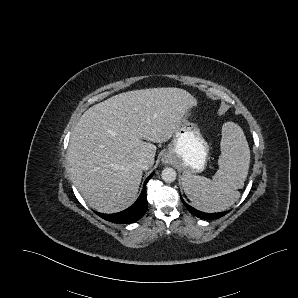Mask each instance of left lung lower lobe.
Wrapping results in <instances>:
<instances>
[{"label": "left lung lower lobe", "mask_w": 298, "mask_h": 298, "mask_svg": "<svg viewBox=\"0 0 298 298\" xmlns=\"http://www.w3.org/2000/svg\"><path fill=\"white\" fill-rule=\"evenodd\" d=\"M181 199H182V197H181ZM182 202L185 205V207L192 214H194L195 216H197L201 219H206V220L218 219L229 212V211H225V212H220V213H204V212L198 211V210L194 209L193 207L189 206L183 199H182Z\"/></svg>", "instance_id": "obj_1"}]
</instances>
